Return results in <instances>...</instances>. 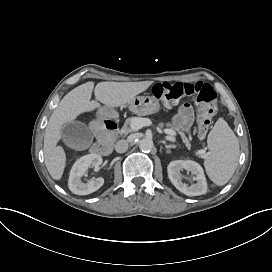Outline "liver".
Returning a JSON list of instances; mask_svg holds the SVG:
<instances>
[{
	"instance_id": "liver-1",
	"label": "liver",
	"mask_w": 272,
	"mask_h": 272,
	"mask_svg": "<svg viewBox=\"0 0 272 272\" xmlns=\"http://www.w3.org/2000/svg\"><path fill=\"white\" fill-rule=\"evenodd\" d=\"M153 81L141 82H100L94 88L93 82L84 83L64 96L50 116L44 135L45 165L51 177H62L66 156L61 146V125L74 120L79 114L100 107L97 101L107 107H119L129 103L136 95L145 91ZM97 101H90L92 91Z\"/></svg>"
}]
</instances>
